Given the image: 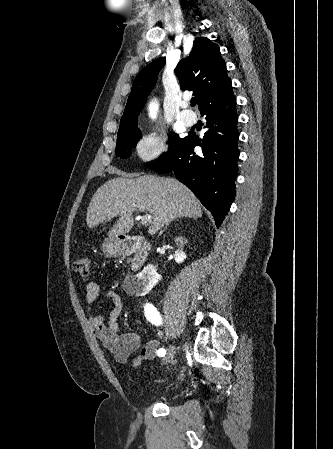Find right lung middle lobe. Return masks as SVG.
<instances>
[{"instance_id":"dd1d6c3e","label":"right lung middle lobe","mask_w":333,"mask_h":449,"mask_svg":"<svg viewBox=\"0 0 333 449\" xmlns=\"http://www.w3.org/2000/svg\"><path fill=\"white\" fill-rule=\"evenodd\" d=\"M120 136L117 139L116 156L121 158H127L130 155V150L136 146V143L141 138V133L135 123H121L118 131ZM182 139L177 134H172L169 142V150L161 158L155 162L145 164L146 167L155 168L163 163L171 154Z\"/></svg>"}]
</instances>
